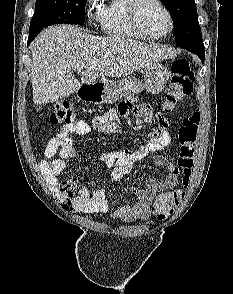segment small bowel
Returning a JSON list of instances; mask_svg holds the SVG:
<instances>
[{
  "instance_id": "c3829d8e",
  "label": "small bowel",
  "mask_w": 233,
  "mask_h": 294,
  "mask_svg": "<svg viewBox=\"0 0 233 294\" xmlns=\"http://www.w3.org/2000/svg\"><path fill=\"white\" fill-rule=\"evenodd\" d=\"M149 103H138L136 108L130 102L119 104L118 111H109L95 117L91 124L84 120H77L72 124L63 126L57 135L51 138L45 148V159L40 162L41 168L47 175L56 180L66 167L69 159L76 156L77 151L73 146L71 134L85 136L92 131L100 133H115L117 122H125V117L136 118L139 122H158V127L151 132L148 142L136 151L122 150L104 152L99 154L101 160L111 169V179L114 182L127 175L133 165L146 158L150 153L163 150L171 142L168 132V123L160 113H153ZM123 117H118V116ZM158 167L166 169L164 180L157 181L147 178L143 188H132L138 201L132 205L121 206L113 213L114 217L124 221L136 219L146 220L151 216V206L157 193L166 189H173L179 181V168L164 155L157 154L153 160ZM58 199L62 206L71 212L83 214L106 213L112 207V202L107 198L105 189L90 190L82 187L75 195H67L62 191V185L58 191Z\"/></svg>"
}]
</instances>
